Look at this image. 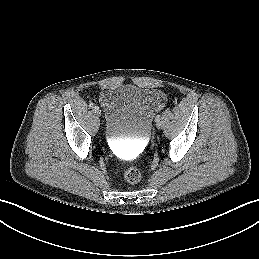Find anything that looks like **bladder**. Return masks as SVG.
I'll list each match as a JSON object with an SVG mask.
<instances>
[{
	"label": "bladder",
	"mask_w": 259,
	"mask_h": 259,
	"mask_svg": "<svg viewBox=\"0 0 259 259\" xmlns=\"http://www.w3.org/2000/svg\"><path fill=\"white\" fill-rule=\"evenodd\" d=\"M156 106V95L152 91L126 88L107 93L105 108L108 134L135 138L148 136Z\"/></svg>",
	"instance_id": "1"
}]
</instances>
